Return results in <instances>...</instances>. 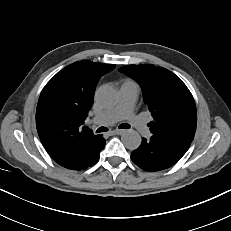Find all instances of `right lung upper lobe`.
Segmentation results:
<instances>
[{
	"mask_svg": "<svg viewBox=\"0 0 231 231\" xmlns=\"http://www.w3.org/2000/svg\"><path fill=\"white\" fill-rule=\"evenodd\" d=\"M114 68L110 64L78 61L62 69L45 85L37 104L36 126L52 158L71 145L95 136L82 125L93 104L100 77Z\"/></svg>",
	"mask_w": 231,
	"mask_h": 231,
	"instance_id": "cb5924a9",
	"label": "right lung upper lobe"
}]
</instances>
